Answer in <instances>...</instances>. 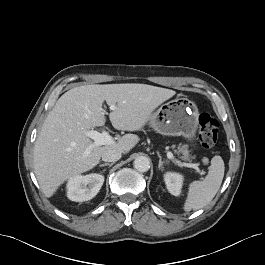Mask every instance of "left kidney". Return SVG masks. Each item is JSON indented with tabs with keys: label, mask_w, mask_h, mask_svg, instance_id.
<instances>
[{
	"label": "left kidney",
	"mask_w": 265,
	"mask_h": 265,
	"mask_svg": "<svg viewBox=\"0 0 265 265\" xmlns=\"http://www.w3.org/2000/svg\"><path fill=\"white\" fill-rule=\"evenodd\" d=\"M164 181L168 191L172 195H180L183 184V176L181 174L175 172H166L164 174Z\"/></svg>",
	"instance_id": "left-kidney-1"
}]
</instances>
